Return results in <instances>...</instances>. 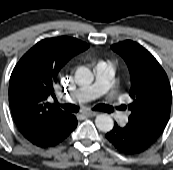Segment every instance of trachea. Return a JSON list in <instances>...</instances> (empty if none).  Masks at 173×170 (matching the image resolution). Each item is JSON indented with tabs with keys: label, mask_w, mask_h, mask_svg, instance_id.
Returning <instances> with one entry per match:
<instances>
[{
	"label": "trachea",
	"mask_w": 173,
	"mask_h": 170,
	"mask_svg": "<svg viewBox=\"0 0 173 170\" xmlns=\"http://www.w3.org/2000/svg\"><path fill=\"white\" fill-rule=\"evenodd\" d=\"M61 107L63 109H65L66 111L73 112V113H77L78 110H79L78 106H76L74 104H65V105H61ZM93 110L104 111V112H107V113H111L113 111V108L108 106V105L98 104L97 106H95L93 108Z\"/></svg>",
	"instance_id": "1"
}]
</instances>
